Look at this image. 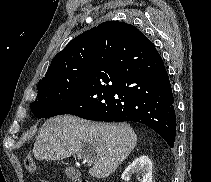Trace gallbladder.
<instances>
[{
  "label": "gallbladder",
  "instance_id": "1",
  "mask_svg": "<svg viewBox=\"0 0 211 182\" xmlns=\"http://www.w3.org/2000/svg\"><path fill=\"white\" fill-rule=\"evenodd\" d=\"M73 172H74V169L72 167H69L65 170V173L68 177H72Z\"/></svg>",
  "mask_w": 211,
  "mask_h": 182
}]
</instances>
